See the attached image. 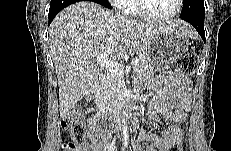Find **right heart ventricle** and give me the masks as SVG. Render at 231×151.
Returning <instances> with one entry per match:
<instances>
[{"label": "right heart ventricle", "mask_w": 231, "mask_h": 151, "mask_svg": "<svg viewBox=\"0 0 231 151\" xmlns=\"http://www.w3.org/2000/svg\"><path fill=\"white\" fill-rule=\"evenodd\" d=\"M128 12H131V13H135L134 12V7L129 3V11Z\"/></svg>", "instance_id": "right-heart-ventricle-1"}]
</instances>
